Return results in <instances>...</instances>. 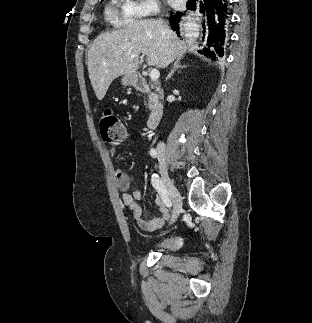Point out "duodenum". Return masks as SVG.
I'll use <instances>...</instances> for the list:
<instances>
[{"mask_svg":"<svg viewBox=\"0 0 312 323\" xmlns=\"http://www.w3.org/2000/svg\"><path fill=\"white\" fill-rule=\"evenodd\" d=\"M131 83L139 90L150 91L152 93V110L147 119V127L148 129L155 128L161 121L166 109L165 90L157 81L147 79L142 73H134L131 76Z\"/></svg>","mask_w":312,"mask_h":323,"instance_id":"1","label":"duodenum"}]
</instances>
